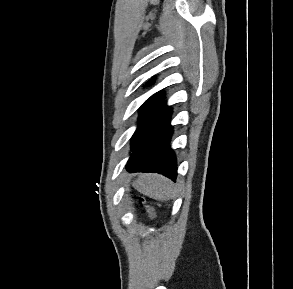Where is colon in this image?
<instances>
[{
	"instance_id": "obj_1",
	"label": "colon",
	"mask_w": 293,
	"mask_h": 289,
	"mask_svg": "<svg viewBox=\"0 0 293 289\" xmlns=\"http://www.w3.org/2000/svg\"><path fill=\"white\" fill-rule=\"evenodd\" d=\"M140 201L144 204V206H145V210H146V212H147L148 217H149L151 220H153V219L155 218V212H154L153 207L150 206V205H148V204H146V203H145V200L142 199V198L140 199Z\"/></svg>"
}]
</instances>
